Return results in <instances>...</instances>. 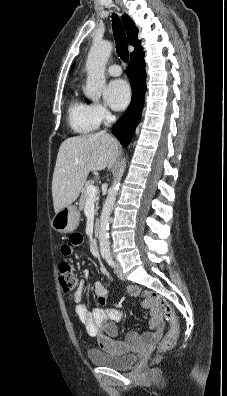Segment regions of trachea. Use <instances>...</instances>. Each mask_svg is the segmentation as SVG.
Returning a JSON list of instances; mask_svg holds the SVG:
<instances>
[{
  "label": "trachea",
  "instance_id": "1",
  "mask_svg": "<svg viewBox=\"0 0 227 396\" xmlns=\"http://www.w3.org/2000/svg\"><path fill=\"white\" fill-rule=\"evenodd\" d=\"M112 29L116 43V51L122 61L128 62L129 52L127 48L126 34L123 25L116 14L112 15Z\"/></svg>",
  "mask_w": 227,
  "mask_h": 396
}]
</instances>
